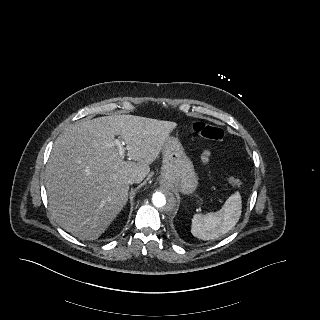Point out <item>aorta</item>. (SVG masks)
Instances as JSON below:
<instances>
[{"mask_svg":"<svg viewBox=\"0 0 320 320\" xmlns=\"http://www.w3.org/2000/svg\"><path fill=\"white\" fill-rule=\"evenodd\" d=\"M176 205L174 194L168 189H163L153 194L150 209L157 218H162L163 215L173 212Z\"/></svg>","mask_w":320,"mask_h":320,"instance_id":"obj_1","label":"aorta"}]
</instances>
